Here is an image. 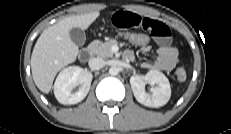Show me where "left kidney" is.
Listing matches in <instances>:
<instances>
[{
    "mask_svg": "<svg viewBox=\"0 0 231 134\" xmlns=\"http://www.w3.org/2000/svg\"><path fill=\"white\" fill-rule=\"evenodd\" d=\"M146 83L152 86L150 94L145 90ZM130 84L136 100L145 106L157 108L165 105L170 99L169 80L158 70H151L144 76H131Z\"/></svg>",
    "mask_w": 231,
    "mask_h": 134,
    "instance_id": "left-kidney-1",
    "label": "left kidney"
}]
</instances>
